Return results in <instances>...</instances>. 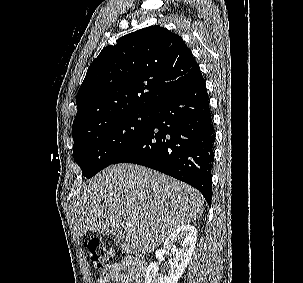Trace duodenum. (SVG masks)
<instances>
[{
    "label": "duodenum",
    "mask_w": 303,
    "mask_h": 283,
    "mask_svg": "<svg viewBox=\"0 0 303 283\" xmlns=\"http://www.w3.org/2000/svg\"><path fill=\"white\" fill-rule=\"evenodd\" d=\"M136 263H137V267L141 271H144V273H145V269H146V262H145V260L141 256H139L138 259H137V261H136Z\"/></svg>",
    "instance_id": "1"
}]
</instances>
